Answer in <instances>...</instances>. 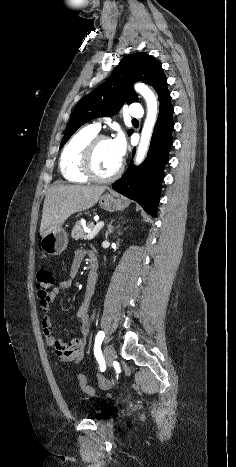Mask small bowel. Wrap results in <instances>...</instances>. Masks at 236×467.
<instances>
[{
  "label": "small bowel",
  "instance_id": "c3829d8e",
  "mask_svg": "<svg viewBox=\"0 0 236 467\" xmlns=\"http://www.w3.org/2000/svg\"><path fill=\"white\" fill-rule=\"evenodd\" d=\"M88 255L91 261L96 262V257L93 253L85 252L83 250H78L75 253V256L72 260L70 276L68 278L60 281L58 286L53 289L51 294L45 298L41 299L40 306L43 311V316L41 320L42 333L45 337L46 344L53 348L54 353L57 359L60 362H74L79 363L82 361L85 355V346L87 343V336L90 332V318L88 315V309L90 300L94 294L95 282L93 280H88L84 300L79 306L76 312V318L79 322L80 337L72 339L68 343H64L61 339L57 338L51 328V317H50V306L51 303L58 297L61 291L70 289L73 283V277L77 274L83 259Z\"/></svg>",
  "mask_w": 236,
  "mask_h": 467
}]
</instances>
